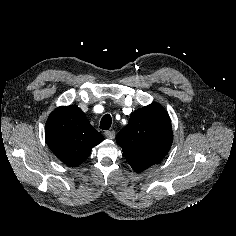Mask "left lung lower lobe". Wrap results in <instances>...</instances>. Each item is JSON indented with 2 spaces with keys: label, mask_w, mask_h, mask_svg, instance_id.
Segmentation results:
<instances>
[{
  "label": "left lung lower lobe",
  "mask_w": 236,
  "mask_h": 236,
  "mask_svg": "<svg viewBox=\"0 0 236 236\" xmlns=\"http://www.w3.org/2000/svg\"><path fill=\"white\" fill-rule=\"evenodd\" d=\"M132 168H133L136 172L140 173V172L144 171L145 169H147L148 167L140 166V165H133Z\"/></svg>",
  "instance_id": "1"
}]
</instances>
